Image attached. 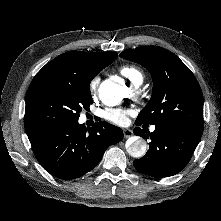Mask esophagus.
I'll use <instances>...</instances> for the list:
<instances>
[{
    "mask_svg": "<svg viewBox=\"0 0 221 221\" xmlns=\"http://www.w3.org/2000/svg\"><path fill=\"white\" fill-rule=\"evenodd\" d=\"M123 133H124V137H125V138H128V137H130V136L133 135V132H132L131 129H124V130H123Z\"/></svg>",
    "mask_w": 221,
    "mask_h": 221,
    "instance_id": "obj_1",
    "label": "esophagus"
}]
</instances>
